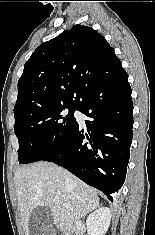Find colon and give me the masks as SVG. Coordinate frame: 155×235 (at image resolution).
<instances>
[{"mask_svg": "<svg viewBox=\"0 0 155 235\" xmlns=\"http://www.w3.org/2000/svg\"><path fill=\"white\" fill-rule=\"evenodd\" d=\"M51 235H60L59 233H57V232H55V233H53V234H51Z\"/></svg>", "mask_w": 155, "mask_h": 235, "instance_id": "colon-1", "label": "colon"}]
</instances>
